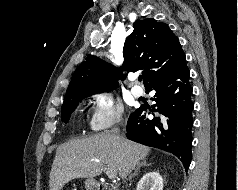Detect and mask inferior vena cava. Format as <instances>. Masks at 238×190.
Returning a JSON list of instances; mask_svg holds the SVG:
<instances>
[{
    "label": "inferior vena cava",
    "mask_w": 238,
    "mask_h": 190,
    "mask_svg": "<svg viewBox=\"0 0 238 190\" xmlns=\"http://www.w3.org/2000/svg\"><path fill=\"white\" fill-rule=\"evenodd\" d=\"M114 134L117 135L118 134V130H114Z\"/></svg>",
    "instance_id": "inferior-vena-cava-1"
}]
</instances>
